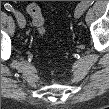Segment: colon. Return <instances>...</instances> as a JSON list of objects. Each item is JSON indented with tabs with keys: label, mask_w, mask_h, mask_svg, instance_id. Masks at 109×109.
I'll return each mask as SVG.
<instances>
[{
	"label": "colon",
	"mask_w": 109,
	"mask_h": 109,
	"mask_svg": "<svg viewBox=\"0 0 109 109\" xmlns=\"http://www.w3.org/2000/svg\"><path fill=\"white\" fill-rule=\"evenodd\" d=\"M27 12L31 18L32 25L35 27L37 34L43 36L46 33L45 18L41 8L37 4H30Z\"/></svg>",
	"instance_id": "1"
}]
</instances>
